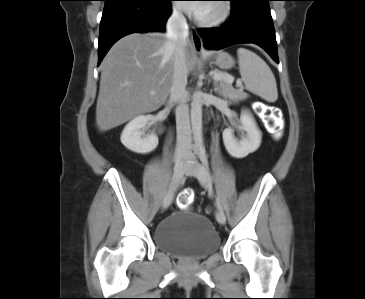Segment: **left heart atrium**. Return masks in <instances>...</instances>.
Instances as JSON below:
<instances>
[{"label":"left heart atrium","instance_id":"obj_1","mask_svg":"<svg viewBox=\"0 0 365 299\" xmlns=\"http://www.w3.org/2000/svg\"><path fill=\"white\" fill-rule=\"evenodd\" d=\"M194 2H198V3L184 4V8L189 13H192L195 16H199L200 14L203 13V11L205 10L207 4L203 3L204 1H194Z\"/></svg>","mask_w":365,"mask_h":299}]
</instances>
